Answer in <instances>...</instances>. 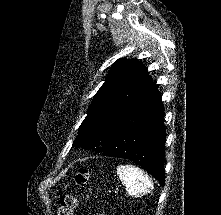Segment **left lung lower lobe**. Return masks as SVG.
Listing matches in <instances>:
<instances>
[{
  "instance_id": "obj_1",
  "label": "left lung lower lobe",
  "mask_w": 221,
  "mask_h": 215,
  "mask_svg": "<svg viewBox=\"0 0 221 215\" xmlns=\"http://www.w3.org/2000/svg\"><path fill=\"white\" fill-rule=\"evenodd\" d=\"M165 140L162 100L156 84L152 83L118 122L103 155L135 162L163 186Z\"/></svg>"
}]
</instances>
